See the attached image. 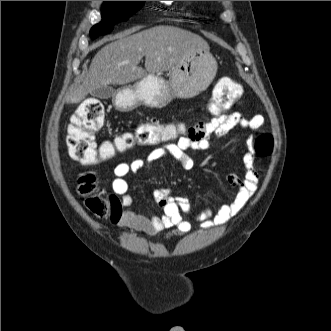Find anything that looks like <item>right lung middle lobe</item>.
Returning a JSON list of instances; mask_svg holds the SVG:
<instances>
[{
  "instance_id": "dd1d6c3e",
  "label": "right lung middle lobe",
  "mask_w": 331,
  "mask_h": 331,
  "mask_svg": "<svg viewBox=\"0 0 331 331\" xmlns=\"http://www.w3.org/2000/svg\"><path fill=\"white\" fill-rule=\"evenodd\" d=\"M145 1H105L102 7V21L90 30L92 39L109 33L118 21H126L138 11Z\"/></svg>"
}]
</instances>
